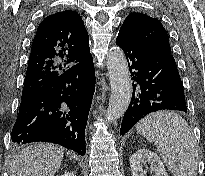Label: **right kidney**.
Segmentation results:
<instances>
[{"label":"right kidney","mask_w":205,"mask_h":176,"mask_svg":"<svg viewBox=\"0 0 205 176\" xmlns=\"http://www.w3.org/2000/svg\"><path fill=\"white\" fill-rule=\"evenodd\" d=\"M60 176H76L73 172H66Z\"/></svg>","instance_id":"1"}]
</instances>
